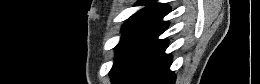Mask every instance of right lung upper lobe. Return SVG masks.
Returning <instances> with one entry per match:
<instances>
[{"instance_id":"1","label":"right lung upper lobe","mask_w":260,"mask_h":84,"mask_svg":"<svg viewBox=\"0 0 260 84\" xmlns=\"http://www.w3.org/2000/svg\"><path fill=\"white\" fill-rule=\"evenodd\" d=\"M152 0H143L139 4H147ZM169 12V6L166 4L150 5L132 17H130L123 26V31L132 28H167V22H163L162 18Z\"/></svg>"}]
</instances>
